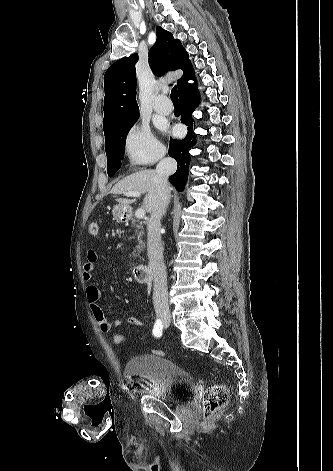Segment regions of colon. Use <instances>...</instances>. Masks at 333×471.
Masks as SVG:
<instances>
[{
	"label": "colon",
	"instance_id": "5ec220e1",
	"mask_svg": "<svg viewBox=\"0 0 333 471\" xmlns=\"http://www.w3.org/2000/svg\"><path fill=\"white\" fill-rule=\"evenodd\" d=\"M88 231L91 235L95 236L99 232V227L96 222L89 224ZM125 337L122 333L117 332L113 335L112 341L116 346H121L124 343ZM155 355H164L161 350H154ZM228 402V392L225 385L222 383H215L210 386L203 394V414L205 419L212 416L213 413L223 408Z\"/></svg>",
	"mask_w": 333,
	"mask_h": 471
}]
</instances>
